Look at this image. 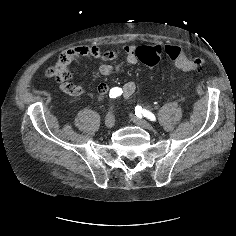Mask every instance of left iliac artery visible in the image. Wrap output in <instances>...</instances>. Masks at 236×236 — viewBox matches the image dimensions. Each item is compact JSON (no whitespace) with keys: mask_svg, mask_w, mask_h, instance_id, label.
<instances>
[{"mask_svg":"<svg viewBox=\"0 0 236 236\" xmlns=\"http://www.w3.org/2000/svg\"><path fill=\"white\" fill-rule=\"evenodd\" d=\"M135 115L137 117H146L148 119H150L151 121H156V117L153 113H151L150 111L146 110V109H142L141 106H136L135 107Z\"/></svg>","mask_w":236,"mask_h":236,"instance_id":"obj_1","label":"left iliac artery"}]
</instances>
